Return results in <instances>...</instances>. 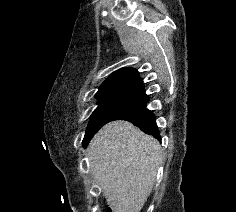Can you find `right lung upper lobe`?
I'll return each instance as SVG.
<instances>
[{"label": "right lung upper lobe", "instance_id": "cb5924a9", "mask_svg": "<svg viewBox=\"0 0 236 212\" xmlns=\"http://www.w3.org/2000/svg\"><path fill=\"white\" fill-rule=\"evenodd\" d=\"M142 82L139 73L133 68H122L111 74L100 86L96 96L107 95L117 92H130Z\"/></svg>", "mask_w": 236, "mask_h": 212}]
</instances>
